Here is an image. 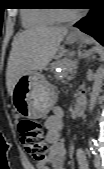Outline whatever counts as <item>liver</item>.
<instances>
[{"mask_svg":"<svg viewBox=\"0 0 104 169\" xmlns=\"http://www.w3.org/2000/svg\"><path fill=\"white\" fill-rule=\"evenodd\" d=\"M67 34L66 27L39 26L16 35L6 71V85L10 95L23 75L47 67Z\"/></svg>","mask_w":104,"mask_h":169,"instance_id":"1","label":"liver"}]
</instances>
